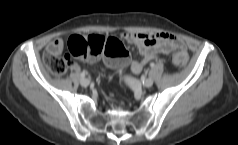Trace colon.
I'll list each match as a JSON object with an SVG mask.
<instances>
[{
  "label": "colon",
  "mask_w": 238,
  "mask_h": 145,
  "mask_svg": "<svg viewBox=\"0 0 238 145\" xmlns=\"http://www.w3.org/2000/svg\"><path fill=\"white\" fill-rule=\"evenodd\" d=\"M68 45L71 55L83 59H93L103 55L111 67H122L129 62L128 50L120 40L114 37L75 35L69 39ZM187 61L188 57L183 51L175 53L172 57V62L177 67H184ZM43 63L53 74L62 75L70 64V55L60 57L46 52L43 55Z\"/></svg>",
  "instance_id": "1"
}]
</instances>
